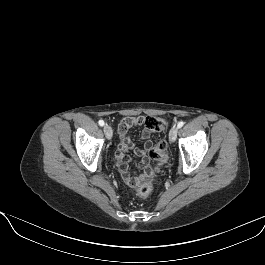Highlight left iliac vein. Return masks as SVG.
I'll use <instances>...</instances> for the list:
<instances>
[{"label":"left iliac vein","mask_w":265,"mask_h":265,"mask_svg":"<svg viewBox=\"0 0 265 265\" xmlns=\"http://www.w3.org/2000/svg\"><path fill=\"white\" fill-rule=\"evenodd\" d=\"M177 134H178V127L176 126L172 127L169 132V139L171 142H174L176 140Z\"/></svg>","instance_id":"4c4485c4"}]
</instances>
